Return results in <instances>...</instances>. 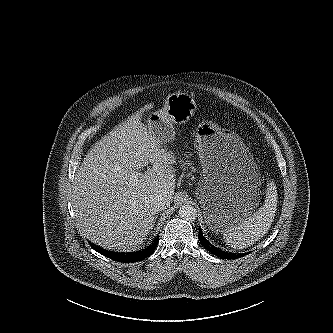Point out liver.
Returning <instances> with one entry per match:
<instances>
[{
    "label": "liver",
    "mask_w": 333,
    "mask_h": 333,
    "mask_svg": "<svg viewBox=\"0 0 333 333\" xmlns=\"http://www.w3.org/2000/svg\"><path fill=\"white\" fill-rule=\"evenodd\" d=\"M175 162L173 152L143 126L141 112L115 127L95 143L75 174L72 206L79 230L107 250L136 249L154 226V197L173 199ZM149 163L151 169L138 173Z\"/></svg>",
    "instance_id": "6515ba94"
}]
</instances>
